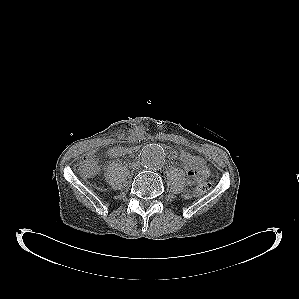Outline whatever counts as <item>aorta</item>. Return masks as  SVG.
I'll list each match as a JSON object with an SVG mask.
<instances>
[{"mask_svg": "<svg viewBox=\"0 0 299 299\" xmlns=\"http://www.w3.org/2000/svg\"><path fill=\"white\" fill-rule=\"evenodd\" d=\"M165 161V152L160 145L149 144L142 148L140 152V162L147 169L161 167Z\"/></svg>", "mask_w": 299, "mask_h": 299, "instance_id": "762f6f07", "label": "aorta"}]
</instances>
